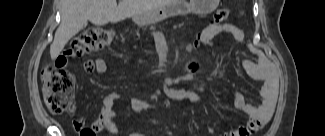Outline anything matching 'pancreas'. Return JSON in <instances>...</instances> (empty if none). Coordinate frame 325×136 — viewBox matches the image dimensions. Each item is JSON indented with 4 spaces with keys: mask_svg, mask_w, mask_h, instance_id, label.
Masks as SVG:
<instances>
[{
    "mask_svg": "<svg viewBox=\"0 0 325 136\" xmlns=\"http://www.w3.org/2000/svg\"><path fill=\"white\" fill-rule=\"evenodd\" d=\"M161 22H162V23H163V22H164V23H166V22H170V19H167V21H166V20H164V21L162 20ZM156 25H158V24H156ZM146 31L148 32L149 30L147 29Z\"/></svg>",
    "mask_w": 325,
    "mask_h": 136,
    "instance_id": "1",
    "label": "pancreas"
}]
</instances>
